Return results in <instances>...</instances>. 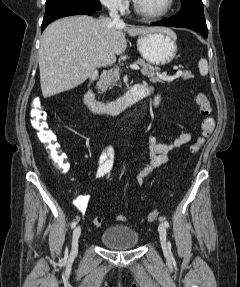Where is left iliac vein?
<instances>
[{
	"mask_svg": "<svg viewBox=\"0 0 240 287\" xmlns=\"http://www.w3.org/2000/svg\"><path fill=\"white\" fill-rule=\"evenodd\" d=\"M158 232H159L162 249L164 252H167V240H166L167 233H166V228L163 224H159Z\"/></svg>",
	"mask_w": 240,
	"mask_h": 287,
	"instance_id": "4c4485c4",
	"label": "left iliac vein"
}]
</instances>
